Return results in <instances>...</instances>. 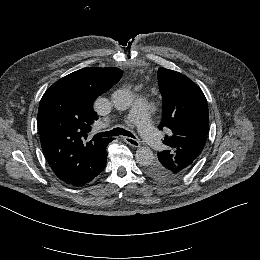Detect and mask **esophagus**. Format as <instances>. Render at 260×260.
<instances>
[{"mask_svg":"<svg viewBox=\"0 0 260 260\" xmlns=\"http://www.w3.org/2000/svg\"><path fill=\"white\" fill-rule=\"evenodd\" d=\"M124 141L133 147H140V142L138 141V139L131 138V137H124Z\"/></svg>","mask_w":260,"mask_h":260,"instance_id":"obj_1","label":"esophagus"}]
</instances>
